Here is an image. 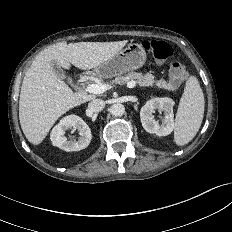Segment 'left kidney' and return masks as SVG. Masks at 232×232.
Returning a JSON list of instances; mask_svg holds the SVG:
<instances>
[{
    "instance_id": "obj_1",
    "label": "left kidney",
    "mask_w": 232,
    "mask_h": 232,
    "mask_svg": "<svg viewBox=\"0 0 232 232\" xmlns=\"http://www.w3.org/2000/svg\"><path fill=\"white\" fill-rule=\"evenodd\" d=\"M173 106L174 101L168 97L152 98L147 101L140 111V119L145 131L158 136L169 135L174 129ZM155 109L164 111L165 116L161 125L152 115Z\"/></svg>"
}]
</instances>
